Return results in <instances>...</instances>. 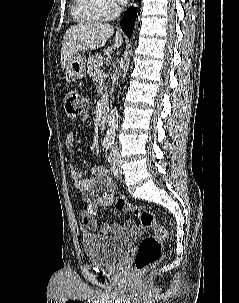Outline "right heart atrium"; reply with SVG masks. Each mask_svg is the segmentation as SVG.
Here are the masks:
<instances>
[{
  "mask_svg": "<svg viewBox=\"0 0 239 303\" xmlns=\"http://www.w3.org/2000/svg\"><path fill=\"white\" fill-rule=\"evenodd\" d=\"M98 11L105 18L113 17L119 11V4L116 0H95Z\"/></svg>",
  "mask_w": 239,
  "mask_h": 303,
  "instance_id": "right-heart-atrium-1",
  "label": "right heart atrium"
}]
</instances>
